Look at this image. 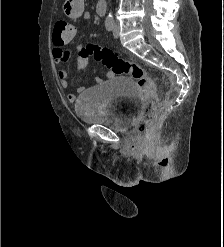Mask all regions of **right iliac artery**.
<instances>
[{
    "label": "right iliac artery",
    "instance_id": "right-iliac-artery-1",
    "mask_svg": "<svg viewBox=\"0 0 224 247\" xmlns=\"http://www.w3.org/2000/svg\"><path fill=\"white\" fill-rule=\"evenodd\" d=\"M105 27H106L107 31H112V29L114 27V20L112 18H107L105 20Z\"/></svg>",
    "mask_w": 224,
    "mask_h": 247
}]
</instances>
